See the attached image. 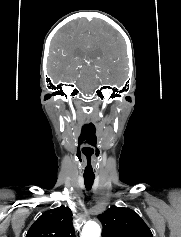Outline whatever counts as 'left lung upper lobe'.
Returning a JSON list of instances; mask_svg holds the SVG:
<instances>
[{
	"label": "left lung upper lobe",
	"mask_w": 181,
	"mask_h": 237,
	"mask_svg": "<svg viewBox=\"0 0 181 237\" xmlns=\"http://www.w3.org/2000/svg\"><path fill=\"white\" fill-rule=\"evenodd\" d=\"M98 218L103 237H153L142 218L129 208L112 206Z\"/></svg>",
	"instance_id": "1"
}]
</instances>
